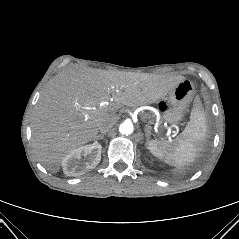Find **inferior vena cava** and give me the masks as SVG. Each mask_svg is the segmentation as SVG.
Returning a JSON list of instances; mask_svg holds the SVG:
<instances>
[{
	"instance_id": "602c4592",
	"label": "inferior vena cava",
	"mask_w": 239,
	"mask_h": 239,
	"mask_svg": "<svg viewBox=\"0 0 239 239\" xmlns=\"http://www.w3.org/2000/svg\"><path fill=\"white\" fill-rule=\"evenodd\" d=\"M114 123L113 122H104L101 124V126L99 127V131L104 134L106 132H108L112 127H113Z\"/></svg>"
}]
</instances>
